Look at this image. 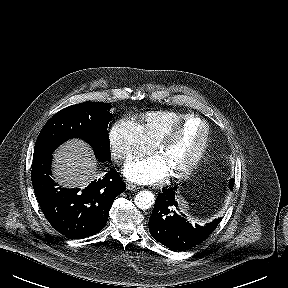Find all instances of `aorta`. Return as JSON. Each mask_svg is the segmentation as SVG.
Listing matches in <instances>:
<instances>
[{
	"label": "aorta",
	"instance_id": "1",
	"mask_svg": "<svg viewBox=\"0 0 288 288\" xmlns=\"http://www.w3.org/2000/svg\"><path fill=\"white\" fill-rule=\"evenodd\" d=\"M136 206L142 210L149 209L155 202V196L151 191H140L134 198Z\"/></svg>",
	"mask_w": 288,
	"mask_h": 288
}]
</instances>
